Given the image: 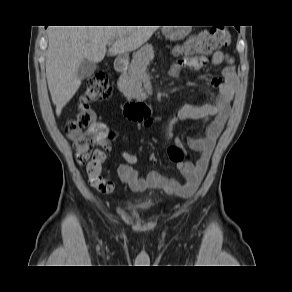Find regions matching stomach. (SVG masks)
I'll return each instance as SVG.
<instances>
[{
  "mask_svg": "<svg viewBox=\"0 0 292 292\" xmlns=\"http://www.w3.org/2000/svg\"><path fill=\"white\" fill-rule=\"evenodd\" d=\"M167 37L171 40H180L185 37V33L182 30H172L167 34Z\"/></svg>",
  "mask_w": 292,
  "mask_h": 292,
  "instance_id": "1",
  "label": "stomach"
}]
</instances>
